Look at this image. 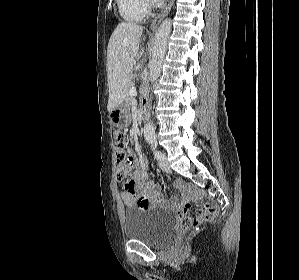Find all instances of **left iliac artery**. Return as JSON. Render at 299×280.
Wrapping results in <instances>:
<instances>
[{
	"label": "left iliac artery",
	"mask_w": 299,
	"mask_h": 280,
	"mask_svg": "<svg viewBox=\"0 0 299 280\" xmlns=\"http://www.w3.org/2000/svg\"><path fill=\"white\" fill-rule=\"evenodd\" d=\"M148 142L152 145L153 149H154V156L157 160H161L163 158V153L159 150L156 149V142L154 139H150L148 140Z\"/></svg>",
	"instance_id": "44dca946"
}]
</instances>
